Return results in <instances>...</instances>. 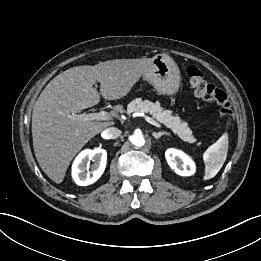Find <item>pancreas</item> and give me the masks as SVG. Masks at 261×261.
<instances>
[{
	"mask_svg": "<svg viewBox=\"0 0 261 261\" xmlns=\"http://www.w3.org/2000/svg\"><path fill=\"white\" fill-rule=\"evenodd\" d=\"M133 112L149 113L158 122L170 128L183 141L191 144L196 142V138L188 127V124L179 116H173L172 111L164 109L159 103H152L148 100L143 101L140 98H136L131 101L127 107L128 114ZM200 144V142L197 143V145Z\"/></svg>",
	"mask_w": 261,
	"mask_h": 261,
	"instance_id": "pancreas-1",
	"label": "pancreas"
}]
</instances>
